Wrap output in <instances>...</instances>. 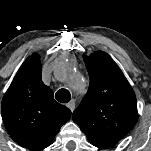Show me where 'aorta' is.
I'll list each match as a JSON object with an SVG mask.
<instances>
[{
	"mask_svg": "<svg viewBox=\"0 0 151 151\" xmlns=\"http://www.w3.org/2000/svg\"><path fill=\"white\" fill-rule=\"evenodd\" d=\"M69 69H70L69 66L66 65V64H64L58 70L59 71H66L67 72V71H69Z\"/></svg>",
	"mask_w": 151,
	"mask_h": 151,
	"instance_id": "762f6f07",
	"label": "aorta"
}]
</instances>
